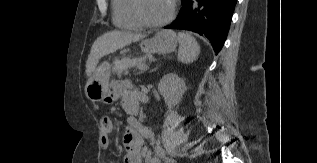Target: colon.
<instances>
[{
  "label": "colon",
  "instance_id": "5ec220e1",
  "mask_svg": "<svg viewBox=\"0 0 317 163\" xmlns=\"http://www.w3.org/2000/svg\"><path fill=\"white\" fill-rule=\"evenodd\" d=\"M106 101H107L108 103H110V102H112V98L109 97V98L106 99Z\"/></svg>",
  "mask_w": 317,
  "mask_h": 163
}]
</instances>
